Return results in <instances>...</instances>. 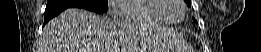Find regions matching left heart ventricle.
Masks as SVG:
<instances>
[{
    "instance_id": "left-heart-ventricle-1",
    "label": "left heart ventricle",
    "mask_w": 261,
    "mask_h": 52,
    "mask_svg": "<svg viewBox=\"0 0 261 52\" xmlns=\"http://www.w3.org/2000/svg\"><path fill=\"white\" fill-rule=\"evenodd\" d=\"M167 16L171 20H178L182 16V9L177 6L173 10L169 11Z\"/></svg>"
}]
</instances>
